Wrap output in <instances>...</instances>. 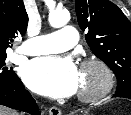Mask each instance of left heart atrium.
<instances>
[{
    "label": "left heart atrium",
    "instance_id": "left-heart-atrium-1",
    "mask_svg": "<svg viewBox=\"0 0 131 115\" xmlns=\"http://www.w3.org/2000/svg\"><path fill=\"white\" fill-rule=\"evenodd\" d=\"M25 84L34 92L58 98L75 94L80 72L68 57L46 56L27 62L21 69Z\"/></svg>",
    "mask_w": 131,
    "mask_h": 115
}]
</instances>
